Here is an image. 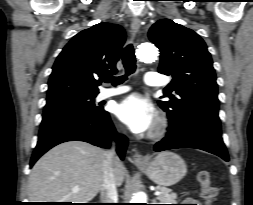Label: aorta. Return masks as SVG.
Instances as JSON below:
<instances>
[{"label":"aorta","mask_w":253,"mask_h":205,"mask_svg":"<svg viewBox=\"0 0 253 205\" xmlns=\"http://www.w3.org/2000/svg\"><path fill=\"white\" fill-rule=\"evenodd\" d=\"M137 54L141 61L151 63L157 59L158 50L152 43H143L139 46ZM132 203L144 204L146 203V196L144 194H136L132 199Z\"/></svg>","instance_id":"obj_1"}]
</instances>
